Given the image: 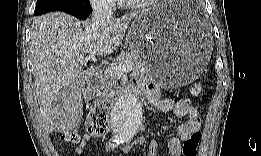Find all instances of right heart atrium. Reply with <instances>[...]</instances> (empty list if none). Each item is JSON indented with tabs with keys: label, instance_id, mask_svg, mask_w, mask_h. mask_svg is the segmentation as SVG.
Wrapping results in <instances>:
<instances>
[{
	"label": "right heart atrium",
	"instance_id": "1",
	"mask_svg": "<svg viewBox=\"0 0 261 156\" xmlns=\"http://www.w3.org/2000/svg\"><path fill=\"white\" fill-rule=\"evenodd\" d=\"M96 6H98L100 8L111 9L114 7V1H112V0L100 1V2L96 3Z\"/></svg>",
	"mask_w": 261,
	"mask_h": 156
}]
</instances>
